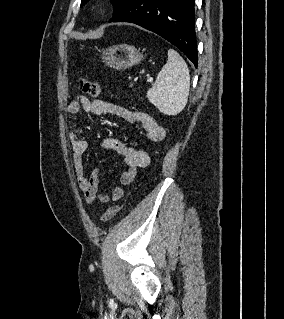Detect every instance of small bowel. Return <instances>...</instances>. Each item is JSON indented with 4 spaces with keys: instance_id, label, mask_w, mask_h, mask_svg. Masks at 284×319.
<instances>
[{
    "instance_id": "1",
    "label": "small bowel",
    "mask_w": 284,
    "mask_h": 319,
    "mask_svg": "<svg viewBox=\"0 0 284 319\" xmlns=\"http://www.w3.org/2000/svg\"><path fill=\"white\" fill-rule=\"evenodd\" d=\"M80 110L94 115H115L131 123H139L144 130L146 138L151 142H160L166 136L165 129L150 115L130 110L117 104L103 100H89L81 96L68 105V112L76 114ZM70 142L73 150V166L78 180V184L87 203L99 201L107 203L110 200L118 201L124 196L121 186H116L111 194L104 192L101 188L100 173L98 169H93L89 173L85 172L83 155L88 149V142L77 133H70ZM103 147L107 150H114L122 156L126 165L120 175L122 185L131 184L139 168H144L150 163V156L147 151L131 147L119 140L108 138L103 141Z\"/></svg>"
}]
</instances>
